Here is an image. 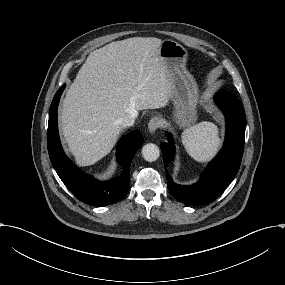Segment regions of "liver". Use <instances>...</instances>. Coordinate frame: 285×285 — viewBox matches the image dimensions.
Masks as SVG:
<instances>
[{
	"label": "liver",
	"mask_w": 285,
	"mask_h": 285,
	"mask_svg": "<svg viewBox=\"0 0 285 285\" xmlns=\"http://www.w3.org/2000/svg\"><path fill=\"white\" fill-rule=\"evenodd\" d=\"M157 38H130L94 51L68 90L63 134L77 161L90 165L108 154L129 110L168 106L172 79Z\"/></svg>",
	"instance_id": "obj_1"
}]
</instances>
